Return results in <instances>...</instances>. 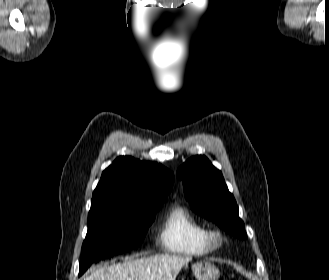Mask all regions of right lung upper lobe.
I'll return each mask as SVG.
<instances>
[{
  "mask_svg": "<svg viewBox=\"0 0 329 280\" xmlns=\"http://www.w3.org/2000/svg\"><path fill=\"white\" fill-rule=\"evenodd\" d=\"M173 182V173L161 164L120 156L103 171L89 213L95 205L109 201L145 203L166 199Z\"/></svg>",
  "mask_w": 329,
  "mask_h": 280,
  "instance_id": "obj_1",
  "label": "right lung upper lobe"
}]
</instances>
